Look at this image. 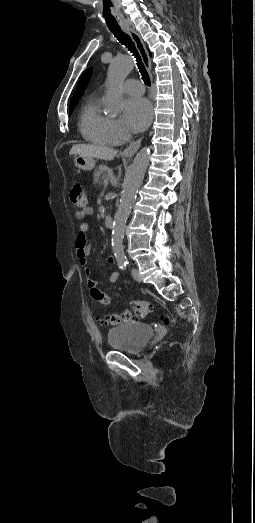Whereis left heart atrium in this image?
Returning <instances> with one entry per match:
<instances>
[{
	"label": "left heart atrium",
	"mask_w": 255,
	"mask_h": 523,
	"mask_svg": "<svg viewBox=\"0 0 255 523\" xmlns=\"http://www.w3.org/2000/svg\"><path fill=\"white\" fill-rule=\"evenodd\" d=\"M152 117V105L144 97L133 101L129 99L124 108V120L129 129L139 131L143 129Z\"/></svg>",
	"instance_id": "left-heart-atrium-1"
}]
</instances>
